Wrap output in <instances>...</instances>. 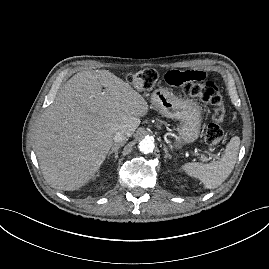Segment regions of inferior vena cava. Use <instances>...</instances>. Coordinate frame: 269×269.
Returning a JSON list of instances; mask_svg holds the SVG:
<instances>
[{
	"mask_svg": "<svg viewBox=\"0 0 269 269\" xmlns=\"http://www.w3.org/2000/svg\"><path fill=\"white\" fill-rule=\"evenodd\" d=\"M129 137V133L124 130H119L115 133L113 140L116 143H125L127 138Z\"/></svg>",
	"mask_w": 269,
	"mask_h": 269,
	"instance_id": "inferior-vena-cava-1",
	"label": "inferior vena cava"
}]
</instances>
